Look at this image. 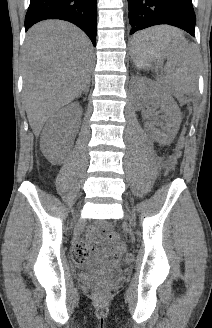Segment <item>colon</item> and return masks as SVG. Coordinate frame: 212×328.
I'll list each match as a JSON object with an SVG mask.
<instances>
[{"mask_svg": "<svg viewBox=\"0 0 212 328\" xmlns=\"http://www.w3.org/2000/svg\"><path fill=\"white\" fill-rule=\"evenodd\" d=\"M103 232L106 235L107 239L110 241L111 245L116 250H118L121 253H123L125 251V244L121 241L119 235L116 232L108 230V229H104ZM73 259L76 262L83 261L82 257L78 253H73ZM124 261L126 263H129L131 261V256L126 255L124 258ZM95 295L98 298H103L106 295V290L104 288H97L95 290Z\"/></svg>", "mask_w": 212, "mask_h": 328, "instance_id": "1", "label": "colon"}]
</instances>
